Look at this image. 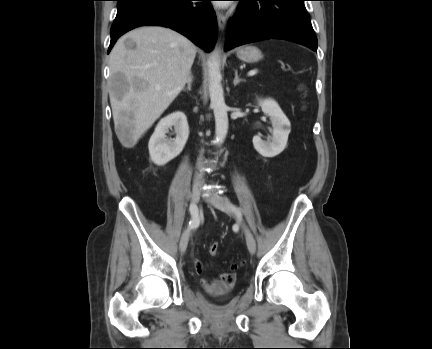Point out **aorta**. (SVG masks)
<instances>
[{
	"instance_id": "aorta-1",
	"label": "aorta",
	"mask_w": 432,
	"mask_h": 349,
	"mask_svg": "<svg viewBox=\"0 0 432 349\" xmlns=\"http://www.w3.org/2000/svg\"><path fill=\"white\" fill-rule=\"evenodd\" d=\"M209 95L210 106L215 117L216 141L220 145L224 142L228 132L227 105L224 100V91L221 84L220 54L215 48L211 53L208 62Z\"/></svg>"
}]
</instances>
